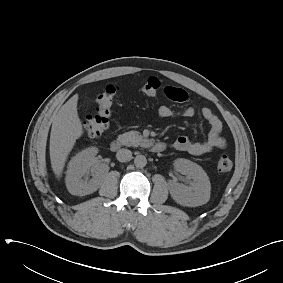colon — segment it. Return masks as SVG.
Segmentation results:
<instances>
[{
	"label": "colon",
	"instance_id": "1",
	"mask_svg": "<svg viewBox=\"0 0 283 283\" xmlns=\"http://www.w3.org/2000/svg\"><path fill=\"white\" fill-rule=\"evenodd\" d=\"M161 88V82L156 77H149L143 84L142 90L149 96H154ZM118 91L116 85H107L97 99L98 109L95 114H88L83 121L85 133L90 137L101 136L108 128L111 114V107L114 97ZM232 160L224 155L217 162V171L220 173L229 172L232 169Z\"/></svg>",
	"mask_w": 283,
	"mask_h": 283
}]
</instances>
